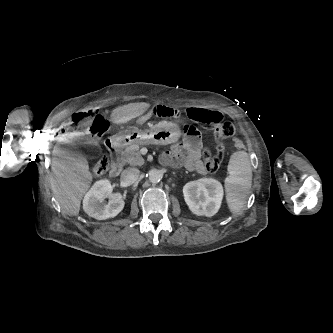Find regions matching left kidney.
Returning a JSON list of instances; mask_svg holds the SVG:
<instances>
[{"label":"left kidney","instance_id":"5707ae66","mask_svg":"<svg viewBox=\"0 0 333 333\" xmlns=\"http://www.w3.org/2000/svg\"><path fill=\"white\" fill-rule=\"evenodd\" d=\"M183 194L186 204L194 214L211 217L219 210L224 192L218 180L201 178L187 183Z\"/></svg>","mask_w":333,"mask_h":333}]
</instances>
